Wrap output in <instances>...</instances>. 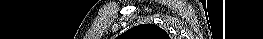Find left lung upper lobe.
Here are the masks:
<instances>
[{
    "label": "left lung upper lobe",
    "instance_id": "obj_1",
    "mask_svg": "<svg viewBox=\"0 0 263 39\" xmlns=\"http://www.w3.org/2000/svg\"><path fill=\"white\" fill-rule=\"evenodd\" d=\"M120 39H170L165 30L155 24H142L121 34Z\"/></svg>",
    "mask_w": 263,
    "mask_h": 39
}]
</instances>
